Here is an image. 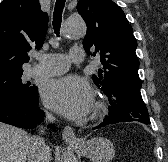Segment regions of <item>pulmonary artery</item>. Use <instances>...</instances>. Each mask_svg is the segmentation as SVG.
I'll return each mask as SVG.
<instances>
[{
  "instance_id": "e3ab8cb5",
  "label": "pulmonary artery",
  "mask_w": 168,
  "mask_h": 162,
  "mask_svg": "<svg viewBox=\"0 0 168 162\" xmlns=\"http://www.w3.org/2000/svg\"><path fill=\"white\" fill-rule=\"evenodd\" d=\"M38 64L32 68L31 75L53 76L65 73L71 62H82L84 51L81 47H72L68 54H44L37 56Z\"/></svg>"
}]
</instances>
